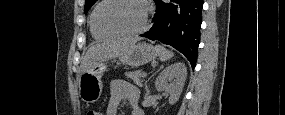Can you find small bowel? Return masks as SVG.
<instances>
[{
  "instance_id": "small-bowel-1",
  "label": "small bowel",
  "mask_w": 285,
  "mask_h": 115,
  "mask_svg": "<svg viewBox=\"0 0 285 115\" xmlns=\"http://www.w3.org/2000/svg\"><path fill=\"white\" fill-rule=\"evenodd\" d=\"M139 92L137 88L125 80H114L110 87V98L107 105L106 114L116 115L119 105L127 101L131 106V115H142L138 107Z\"/></svg>"
}]
</instances>
